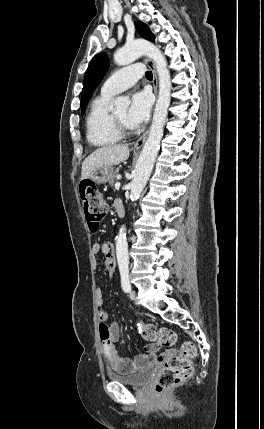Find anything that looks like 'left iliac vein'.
<instances>
[{"label":"left iliac vein","instance_id":"left-iliac-vein-1","mask_svg":"<svg viewBox=\"0 0 264 429\" xmlns=\"http://www.w3.org/2000/svg\"><path fill=\"white\" fill-rule=\"evenodd\" d=\"M129 296H130V298L132 300H135V298H136V292L134 290H131Z\"/></svg>","mask_w":264,"mask_h":429}]
</instances>
